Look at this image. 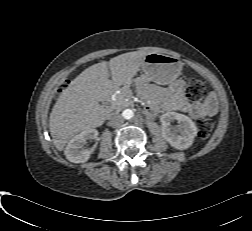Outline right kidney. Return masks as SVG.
I'll list each match as a JSON object with an SVG mask.
<instances>
[{"label":"right kidney","mask_w":252,"mask_h":231,"mask_svg":"<svg viewBox=\"0 0 252 231\" xmlns=\"http://www.w3.org/2000/svg\"><path fill=\"white\" fill-rule=\"evenodd\" d=\"M98 135L96 130L83 131L75 136L66 147L65 155L67 159L74 163H84L90 158V151L85 149L84 145L87 140L92 139Z\"/></svg>","instance_id":"ca27d5eb"}]
</instances>
